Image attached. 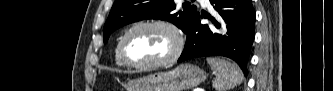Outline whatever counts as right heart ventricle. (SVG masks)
I'll use <instances>...</instances> for the list:
<instances>
[{"instance_id":"1","label":"right heart ventricle","mask_w":333,"mask_h":91,"mask_svg":"<svg viewBox=\"0 0 333 91\" xmlns=\"http://www.w3.org/2000/svg\"><path fill=\"white\" fill-rule=\"evenodd\" d=\"M121 38H122V36L117 41V44H116V47H115V62H116L117 65H119L121 67H127V65L122 60V58L120 56V52H119Z\"/></svg>"}]
</instances>
